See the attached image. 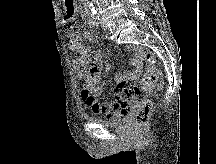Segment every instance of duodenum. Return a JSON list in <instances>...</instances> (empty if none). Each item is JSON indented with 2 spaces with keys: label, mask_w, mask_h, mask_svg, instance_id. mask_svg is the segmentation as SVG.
<instances>
[{
  "label": "duodenum",
  "mask_w": 216,
  "mask_h": 164,
  "mask_svg": "<svg viewBox=\"0 0 216 164\" xmlns=\"http://www.w3.org/2000/svg\"><path fill=\"white\" fill-rule=\"evenodd\" d=\"M87 14L89 15V10L87 9Z\"/></svg>",
  "instance_id": "obj_1"
}]
</instances>
